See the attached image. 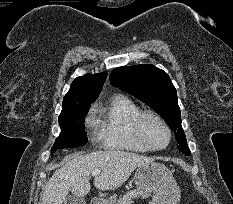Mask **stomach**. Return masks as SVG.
Here are the masks:
<instances>
[{
    "instance_id": "0dacf381",
    "label": "stomach",
    "mask_w": 233,
    "mask_h": 204,
    "mask_svg": "<svg viewBox=\"0 0 233 204\" xmlns=\"http://www.w3.org/2000/svg\"><path fill=\"white\" fill-rule=\"evenodd\" d=\"M135 184L154 196L150 204H178L181 191L165 165L151 162L139 166L134 174Z\"/></svg>"
}]
</instances>
